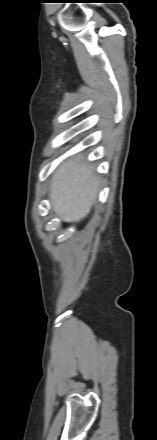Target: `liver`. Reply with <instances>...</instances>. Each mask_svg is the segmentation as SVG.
<instances>
[{
    "instance_id": "obj_1",
    "label": "liver",
    "mask_w": 157,
    "mask_h": 440,
    "mask_svg": "<svg viewBox=\"0 0 157 440\" xmlns=\"http://www.w3.org/2000/svg\"><path fill=\"white\" fill-rule=\"evenodd\" d=\"M99 185L92 165L78 158L64 162L52 176L49 197L53 211L64 222H79L95 203Z\"/></svg>"
}]
</instances>
